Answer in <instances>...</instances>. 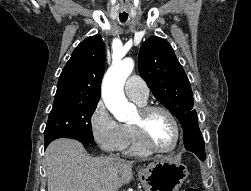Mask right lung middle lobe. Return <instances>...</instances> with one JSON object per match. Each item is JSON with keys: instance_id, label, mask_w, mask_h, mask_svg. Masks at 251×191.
<instances>
[{"instance_id": "obj_1", "label": "right lung middle lobe", "mask_w": 251, "mask_h": 191, "mask_svg": "<svg viewBox=\"0 0 251 191\" xmlns=\"http://www.w3.org/2000/svg\"><path fill=\"white\" fill-rule=\"evenodd\" d=\"M96 103L53 106L44 131L45 145L57 138H79L94 143L91 116Z\"/></svg>"}]
</instances>
